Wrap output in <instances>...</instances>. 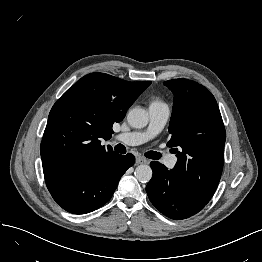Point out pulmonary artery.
Returning <instances> with one entry per match:
<instances>
[{"mask_svg": "<svg viewBox=\"0 0 262 262\" xmlns=\"http://www.w3.org/2000/svg\"><path fill=\"white\" fill-rule=\"evenodd\" d=\"M169 107L164 104H153L149 106V125L144 131L121 133L116 136L119 140L129 146L144 144L154 138L164 128L169 118ZM164 163L167 167L173 168L176 159L169 155L165 158Z\"/></svg>", "mask_w": 262, "mask_h": 262, "instance_id": "pulmonary-artery-1", "label": "pulmonary artery"}]
</instances>
